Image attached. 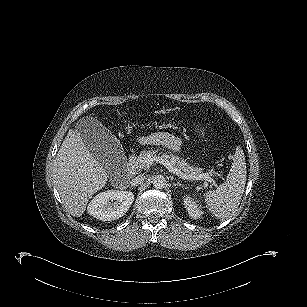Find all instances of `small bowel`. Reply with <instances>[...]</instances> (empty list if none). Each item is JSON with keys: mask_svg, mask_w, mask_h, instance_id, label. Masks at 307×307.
<instances>
[{"mask_svg": "<svg viewBox=\"0 0 307 307\" xmlns=\"http://www.w3.org/2000/svg\"><path fill=\"white\" fill-rule=\"evenodd\" d=\"M159 141L163 146H165V147H167V148H169L173 151H179L180 150V147H181L180 140L177 137H175V136H173L169 133H161L159 135Z\"/></svg>", "mask_w": 307, "mask_h": 307, "instance_id": "small-bowel-1", "label": "small bowel"}]
</instances>
